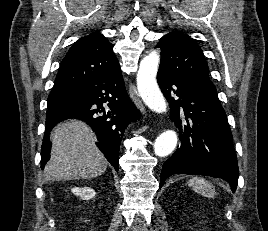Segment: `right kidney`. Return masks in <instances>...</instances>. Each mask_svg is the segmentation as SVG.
I'll use <instances>...</instances> for the list:
<instances>
[{
    "instance_id": "right-kidney-1",
    "label": "right kidney",
    "mask_w": 268,
    "mask_h": 231,
    "mask_svg": "<svg viewBox=\"0 0 268 231\" xmlns=\"http://www.w3.org/2000/svg\"><path fill=\"white\" fill-rule=\"evenodd\" d=\"M72 193L76 196H80L82 200H90L95 196V191L90 187H74Z\"/></svg>"
}]
</instances>
